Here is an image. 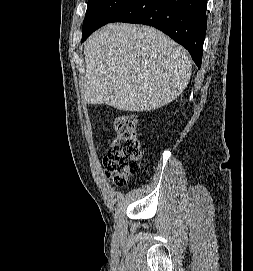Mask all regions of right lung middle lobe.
<instances>
[{
  "mask_svg": "<svg viewBox=\"0 0 253 271\" xmlns=\"http://www.w3.org/2000/svg\"><path fill=\"white\" fill-rule=\"evenodd\" d=\"M131 0H88L82 38L109 23Z\"/></svg>",
  "mask_w": 253,
  "mask_h": 271,
  "instance_id": "1",
  "label": "right lung middle lobe"
}]
</instances>
